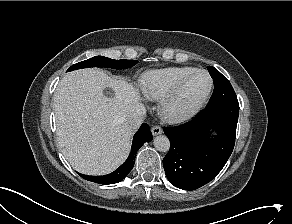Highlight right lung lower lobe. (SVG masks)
<instances>
[{
  "label": "right lung lower lobe",
  "instance_id": "obj_1",
  "mask_svg": "<svg viewBox=\"0 0 292 224\" xmlns=\"http://www.w3.org/2000/svg\"><path fill=\"white\" fill-rule=\"evenodd\" d=\"M152 140V134L149 126L143 123L133 138L131 152L127 160L114 172L103 176H89L78 173L82 178L99 183V184H114L123 180L127 174L132 170L137 151L145 142Z\"/></svg>",
  "mask_w": 292,
  "mask_h": 224
}]
</instances>
